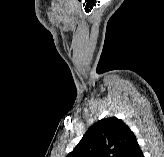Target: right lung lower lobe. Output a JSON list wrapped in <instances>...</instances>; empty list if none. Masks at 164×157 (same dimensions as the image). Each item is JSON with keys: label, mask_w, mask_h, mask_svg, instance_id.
<instances>
[{"label": "right lung lower lobe", "mask_w": 164, "mask_h": 157, "mask_svg": "<svg viewBox=\"0 0 164 157\" xmlns=\"http://www.w3.org/2000/svg\"><path fill=\"white\" fill-rule=\"evenodd\" d=\"M124 157H144L137 140L132 143Z\"/></svg>", "instance_id": "obj_1"}]
</instances>
